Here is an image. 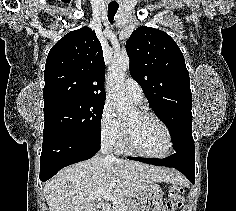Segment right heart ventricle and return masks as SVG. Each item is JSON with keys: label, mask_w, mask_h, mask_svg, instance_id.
<instances>
[{"label": "right heart ventricle", "mask_w": 236, "mask_h": 211, "mask_svg": "<svg viewBox=\"0 0 236 211\" xmlns=\"http://www.w3.org/2000/svg\"><path fill=\"white\" fill-rule=\"evenodd\" d=\"M118 146H119V148H120V149H122V150H126V151L128 150V149H127V148L124 146V144H123V141H122V140L120 141V143H119V145H118Z\"/></svg>", "instance_id": "right-heart-ventricle-1"}]
</instances>
